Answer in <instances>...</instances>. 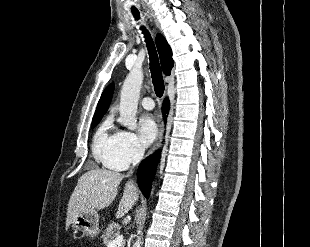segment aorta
Wrapping results in <instances>:
<instances>
[{
  "label": "aorta",
  "mask_w": 310,
  "mask_h": 247,
  "mask_svg": "<svg viewBox=\"0 0 310 247\" xmlns=\"http://www.w3.org/2000/svg\"><path fill=\"white\" fill-rule=\"evenodd\" d=\"M143 77L141 70H131L121 89L119 122L130 130H135L137 127L136 113ZM141 245L142 233L137 236L133 247H141Z\"/></svg>",
  "instance_id": "1"
}]
</instances>
